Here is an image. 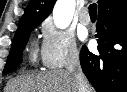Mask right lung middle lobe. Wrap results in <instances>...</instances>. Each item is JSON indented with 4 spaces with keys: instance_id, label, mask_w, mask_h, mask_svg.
<instances>
[{
    "instance_id": "obj_1",
    "label": "right lung middle lobe",
    "mask_w": 127,
    "mask_h": 92,
    "mask_svg": "<svg viewBox=\"0 0 127 92\" xmlns=\"http://www.w3.org/2000/svg\"><path fill=\"white\" fill-rule=\"evenodd\" d=\"M38 25L30 26L14 36L12 41L11 51L8 55L3 73L7 74L13 71L22 62V52L26 46L30 33Z\"/></svg>"
}]
</instances>
